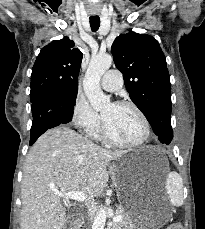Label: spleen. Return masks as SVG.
<instances>
[{
	"label": "spleen",
	"mask_w": 205,
	"mask_h": 229,
	"mask_svg": "<svg viewBox=\"0 0 205 229\" xmlns=\"http://www.w3.org/2000/svg\"><path fill=\"white\" fill-rule=\"evenodd\" d=\"M165 189L173 206L183 205V181L177 172L172 171L167 175Z\"/></svg>",
	"instance_id": "3e777b00"
}]
</instances>
